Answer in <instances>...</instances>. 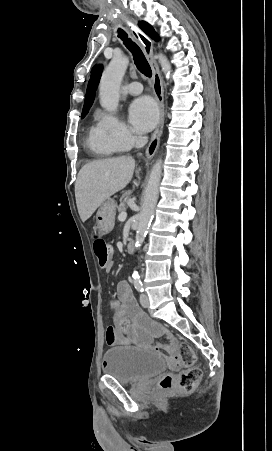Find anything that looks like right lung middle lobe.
Returning a JSON list of instances; mask_svg holds the SVG:
<instances>
[{
    "mask_svg": "<svg viewBox=\"0 0 272 451\" xmlns=\"http://www.w3.org/2000/svg\"><path fill=\"white\" fill-rule=\"evenodd\" d=\"M89 109L90 108H83L81 118H84L86 116V114L88 113Z\"/></svg>",
    "mask_w": 272,
    "mask_h": 451,
    "instance_id": "obj_1",
    "label": "right lung middle lobe"
}]
</instances>
